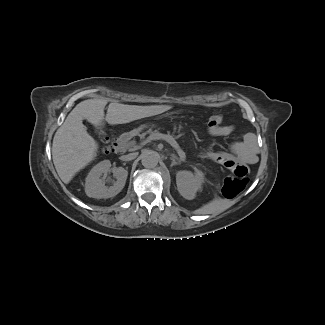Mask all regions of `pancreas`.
<instances>
[{
  "mask_svg": "<svg viewBox=\"0 0 325 325\" xmlns=\"http://www.w3.org/2000/svg\"><path fill=\"white\" fill-rule=\"evenodd\" d=\"M154 133H160V130H159V128H155V129H149V130H145V131H143V133H142V135H137V140H142V138L145 136H148V134H154ZM132 145H134V143H130V146H132Z\"/></svg>",
  "mask_w": 325,
  "mask_h": 325,
  "instance_id": "obj_1",
  "label": "pancreas"
}]
</instances>
